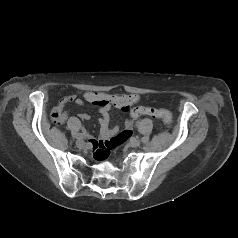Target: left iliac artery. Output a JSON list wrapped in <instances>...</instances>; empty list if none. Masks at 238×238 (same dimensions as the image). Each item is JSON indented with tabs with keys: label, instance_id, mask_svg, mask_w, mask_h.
<instances>
[{
	"label": "left iliac artery",
	"instance_id": "1",
	"mask_svg": "<svg viewBox=\"0 0 238 238\" xmlns=\"http://www.w3.org/2000/svg\"><path fill=\"white\" fill-rule=\"evenodd\" d=\"M149 140H150V137H149V136L143 137V138L141 139L142 142L149 141Z\"/></svg>",
	"mask_w": 238,
	"mask_h": 238
}]
</instances>
